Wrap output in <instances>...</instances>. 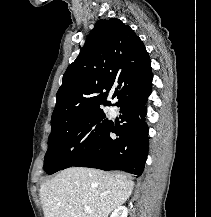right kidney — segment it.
<instances>
[{
  "mask_svg": "<svg viewBox=\"0 0 211 217\" xmlns=\"http://www.w3.org/2000/svg\"><path fill=\"white\" fill-rule=\"evenodd\" d=\"M128 209L125 206H120L114 210L110 217H127Z\"/></svg>",
  "mask_w": 211,
  "mask_h": 217,
  "instance_id": "ca27d5eb",
  "label": "right kidney"
}]
</instances>
